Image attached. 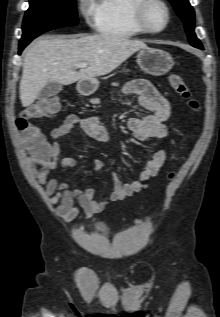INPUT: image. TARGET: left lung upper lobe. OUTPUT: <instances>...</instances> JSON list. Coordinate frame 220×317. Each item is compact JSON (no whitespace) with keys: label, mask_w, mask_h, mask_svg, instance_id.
<instances>
[{"label":"left lung upper lobe","mask_w":220,"mask_h":317,"mask_svg":"<svg viewBox=\"0 0 220 317\" xmlns=\"http://www.w3.org/2000/svg\"><path fill=\"white\" fill-rule=\"evenodd\" d=\"M178 16L183 20L189 42L194 47H202L194 33V10L188 0H169ZM203 48V47H202Z\"/></svg>","instance_id":"left-lung-upper-lobe-1"}]
</instances>
